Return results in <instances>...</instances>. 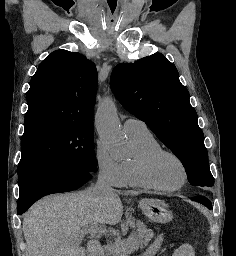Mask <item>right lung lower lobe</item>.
Listing matches in <instances>:
<instances>
[{"label": "right lung lower lobe", "instance_id": "right-lung-lower-lobe-1", "mask_svg": "<svg viewBox=\"0 0 236 256\" xmlns=\"http://www.w3.org/2000/svg\"><path fill=\"white\" fill-rule=\"evenodd\" d=\"M91 177V174L81 170L69 169L31 178L19 186L17 213L23 214L35 201L46 195L75 190Z\"/></svg>", "mask_w": 236, "mask_h": 256}]
</instances>
